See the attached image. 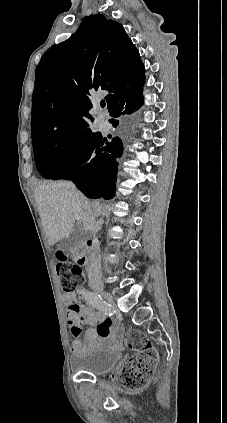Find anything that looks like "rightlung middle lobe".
I'll return each mask as SVG.
<instances>
[{
	"label": "right lung middle lobe",
	"mask_w": 227,
	"mask_h": 423,
	"mask_svg": "<svg viewBox=\"0 0 227 423\" xmlns=\"http://www.w3.org/2000/svg\"><path fill=\"white\" fill-rule=\"evenodd\" d=\"M94 137L95 133L55 135L33 141L34 158L41 176L58 180L72 175Z\"/></svg>",
	"instance_id": "right-lung-middle-lobe-1"
}]
</instances>
